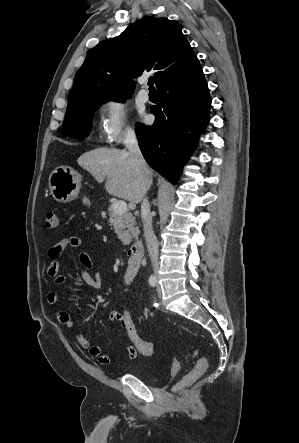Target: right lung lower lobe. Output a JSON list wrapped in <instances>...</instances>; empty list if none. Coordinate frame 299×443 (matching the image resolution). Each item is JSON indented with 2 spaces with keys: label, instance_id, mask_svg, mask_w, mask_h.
<instances>
[{
  "label": "right lung lower lobe",
  "instance_id": "1",
  "mask_svg": "<svg viewBox=\"0 0 299 443\" xmlns=\"http://www.w3.org/2000/svg\"><path fill=\"white\" fill-rule=\"evenodd\" d=\"M157 88L159 103L151 107L154 124H137L135 131L146 161L176 184L209 121L211 100L201 67L164 81Z\"/></svg>",
  "mask_w": 299,
  "mask_h": 443
}]
</instances>
